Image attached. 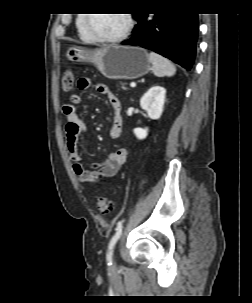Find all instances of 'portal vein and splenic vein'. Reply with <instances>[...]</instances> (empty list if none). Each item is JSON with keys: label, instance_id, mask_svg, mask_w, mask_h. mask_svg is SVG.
<instances>
[{"label": "portal vein and splenic vein", "instance_id": "1", "mask_svg": "<svg viewBox=\"0 0 252 303\" xmlns=\"http://www.w3.org/2000/svg\"><path fill=\"white\" fill-rule=\"evenodd\" d=\"M136 86V83L135 82H132L131 84H130V87H135Z\"/></svg>", "mask_w": 252, "mask_h": 303}]
</instances>
